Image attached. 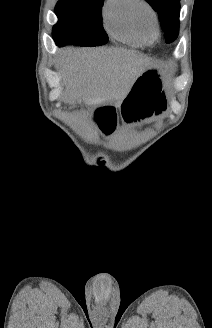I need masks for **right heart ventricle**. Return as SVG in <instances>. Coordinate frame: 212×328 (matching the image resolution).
Wrapping results in <instances>:
<instances>
[{
    "label": "right heart ventricle",
    "instance_id": "e07e8e85",
    "mask_svg": "<svg viewBox=\"0 0 212 328\" xmlns=\"http://www.w3.org/2000/svg\"><path fill=\"white\" fill-rule=\"evenodd\" d=\"M138 0H107L103 8V22L114 38L131 44H151L158 32L144 31L135 18Z\"/></svg>",
    "mask_w": 212,
    "mask_h": 328
}]
</instances>
